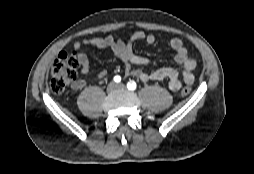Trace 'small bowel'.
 <instances>
[{"mask_svg": "<svg viewBox=\"0 0 254 174\" xmlns=\"http://www.w3.org/2000/svg\"><path fill=\"white\" fill-rule=\"evenodd\" d=\"M136 41H145L147 44H154L156 38L153 34H146L144 31H136L124 41L119 37H90L82 41L74 43L75 56L78 63V68L82 75H87L90 70V62L88 56L81 51L83 46H92L97 48H107L123 62H125V74L131 75L142 82L162 81L167 80L169 88L173 91H178L182 86V81L185 84H193L195 80L194 69L196 66L195 60L189 56L187 49L185 48L182 40L179 38H173L169 45L174 51V60L179 66V70L172 67H162L151 72H145L140 69H136L135 66H147L150 61L148 58L138 55L133 50V44ZM181 74V78L179 77ZM106 76V71H100L94 76V80L102 79ZM87 81L85 79L75 80L71 87L74 90L82 89L86 86Z\"/></svg>", "mask_w": 254, "mask_h": 174, "instance_id": "1", "label": "small bowel"}]
</instances>
